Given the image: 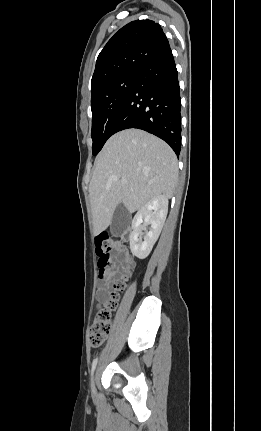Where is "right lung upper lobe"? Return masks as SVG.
Instances as JSON below:
<instances>
[{
  "instance_id": "cb5924a9",
  "label": "right lung upper lobe",
  "mask_w": 261,
  "mask_h": 431,
  "mask_svg": "<svg viewBox=\"0 0 261 431\" xmlns=\"http://www.w3.org/2000/svg\"><path fill=\"white\" fill-rule=\"evenodd\" d=\"M168 48V39L158 23L152 20L128 23L108 41L98 55L91 91L121 75L139 73Z\"/></svg>"
}]
</instances>
